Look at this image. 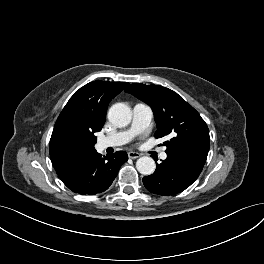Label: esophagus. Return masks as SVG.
<instances>
[{
    "instance_id": "esophagus-1",
    "label": "esophagus",
    "mask_w": 264,
    "mask_h": 264,
    "mask_svg": "<svg viewBox=\"0 0 264 264\" xmlns=\"http://www.w3.org/2000/svg\"><path fill=\"white\" fill-rule=\"evenodd\" d=\"M140 156H141V154H139L137 152H133V151L128 152V157L131 158V159H137Z\"/></svg>"
}]
</instances>
